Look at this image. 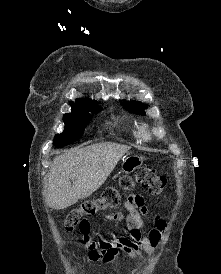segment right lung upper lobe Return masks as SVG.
<instances>
[{
	"instance_id": "obj_1",
	"label": "right lung upper lobe",
	"mask_w": 221,
	"mask_h": 274,
	"mask_svg": "<svg viewBox=\"0 0 221 274\" xmlns=\"http://www.w3.org/2000/svg\"><path fill=\"white\" fill-rule=\"evenodd\" d=\"M81 100H83V99H77V100L75 101V103H74V102H71V104H76V103L80 102Z\"/></svg>"
}]
</instances>
